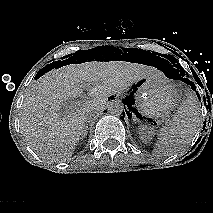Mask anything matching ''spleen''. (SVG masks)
Returning <instances> with one entry per match:
<instances>
[{
    "instance_id": "obj_1",
    "label": "spleen",
    "mask_w": 213,
    "mask_h": 213,
    "mask_svg": "<svg viewBox=\"0 0 213 213\" xmlns=\"http://www.w3.org/2000/svg\"><path fill=\"white\" fill-rule=\"evenodd\" d=\"M200 104L194 93H189L172 120L161 128L158 147L166 154L186 147L201 126Z\"/></svg>"
}]
</instances>
